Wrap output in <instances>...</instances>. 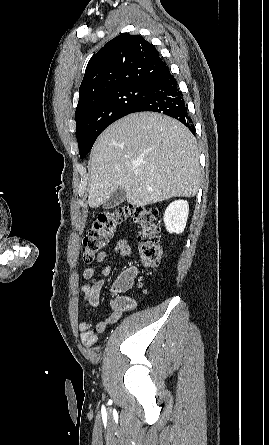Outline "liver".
<instances>
[{
	"label": "liver",
	"instance_id": "liver-1",
	"mask_svg": "<svg viewBox=\"0 0 269 445\" xmlns=\"http://www.w3.org/2000/svg\"><path fill=\"white\" fill-rule=\"evenodd\" d=\"M88 204L98 208L123 188L137 207L193 197L200 186L196 139L179 121L154 112L110 125L91 151Z\"/></svg>",
	"mask_w": 269,
	"mask_h": 445
}]
</instances>
